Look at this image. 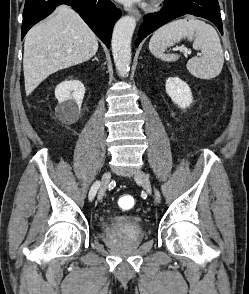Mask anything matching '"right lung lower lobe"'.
<instances>
[{
  "label": "right lung lower lobe",
  "mask_w": 249,
  "mask_h": 294,
  "mask_svg": "<svg viewBox=\"0 0 249 294\" xmlns=\"http://www.w3.org/2000/svg\"><path fill=\"white\" fill-rule=\"evenodd\" d=\"M60 4L72 6L100 40L107 47L110 46L113 25L121 16V11L110 0H26L21 39L33 25L47 17Z\"/></svg>",
  "instance_id": "right-lung-lower-lobe-1"
}]
</instances>
